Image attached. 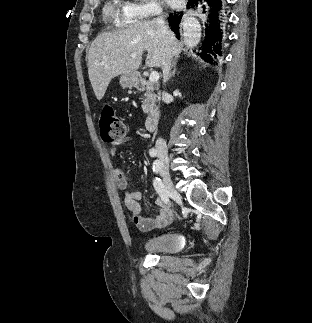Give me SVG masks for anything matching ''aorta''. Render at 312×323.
I'll list each match as a JSON object with an SVG mask.
<instances>
[{
    "label": "aorta",
    "mask_w": 312,
    "mask_h": 323,
    "mask_svg": "<svg viewBox=\"0 0 312 323\" xmlns=\"http://www.w3.org/2000/svg\"><path fill=\"white\" fill-rule=\"evenodd\" d=\"M184 40L186 46H189V48H193V46H197L198 42H200V34H193V32H188V30H184Z\"/></svg>",
    "instance_id": "aorta-1"
}]
</instances>
